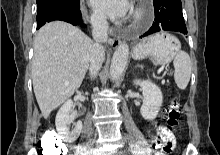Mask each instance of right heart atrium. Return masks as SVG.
Instances as JSON below:
<instances>
[{"label": "right heart atrium", "instance_id": "1", "mask_svg": "<svg viewBox=\"0 0 220 155\" xmlns=\"http://www.w3.org/2000/svg\"><path fill=\"white\" fill-rule=\"evenodd\" d=\"M90 20L94 26L99 28L105 27L107 24L106 18L97 11L91 13Z\"/></svg>", "mask_w": 220, "mask_h": 155}]
</instances>
